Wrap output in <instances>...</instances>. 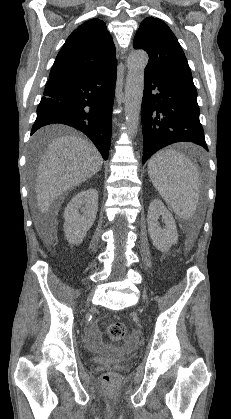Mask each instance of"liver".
I'll return each mask as SVG.
<instances>
[{"mask_svg": "<svg viewBox=\"0 0 231 419\" xmlns=\"http://www.w3.org/2000/svg\"><path fill=\"white\" fill-rule=\"evenodd\" d=\"M48 129L38 131L34 141L42 143ZM103 158L89 141L65 135L53 140L42 156L36 177L37 207L41 215H46L54 200L68 190L79 186L95 175L102 167ZM41 236L50 242L53 227L44 228L37 222Z\"/></svg>", "mask_w": 231, "mask_h": 419, "instance_id": "obj_1", "label": "liver"}]
</instances>
